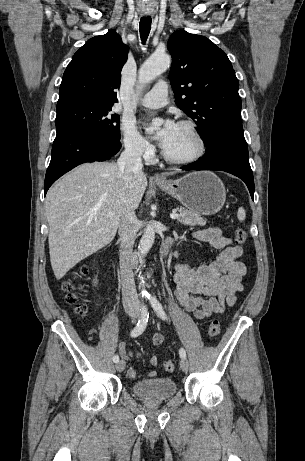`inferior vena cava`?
Wrapping results in <instances>:
<instances>
[{
	"label": "inferior vena cava",
	"mask_w": 305,
	"mask_h": 461,
	"mask_svg": "<svg viewBox=\"0 0 305 461\" xmlns=\"http://www.w3.org/2000/svg\"><path fill=\"white\" fill-rule=\"evenodd\" d=\"M142 148L130 145L125 148L117 161V166L125 182H130L133 175L143 174ZM135 211H123L119 220L120 250L119 263L122 284V300L124 308L138 309L139 301L132 271L133 246L138 231Z\"/></svg>",
	"instance_id": "obj_1"
}]
</instances>
